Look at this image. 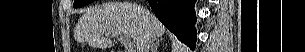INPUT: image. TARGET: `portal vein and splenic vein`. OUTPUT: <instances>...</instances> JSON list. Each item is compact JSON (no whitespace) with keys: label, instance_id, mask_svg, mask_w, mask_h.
Instances as JSON below:
<instances>
[{"label":"portal vein and splenic vein","instance_id":"obj_1","mask_svg":"<svg viewBox=\"0 0 305 52\" xmlns=\"http://www.w3.org/2000/svg\"><path fill=\"white\" fill-rule=\"evenodd\" d=\"M121 42L125 45L127 52H133L134 47L128 42V37L121 36Z\"/></svg>","mask_w":305,"mask_h":52}]
</instances>
